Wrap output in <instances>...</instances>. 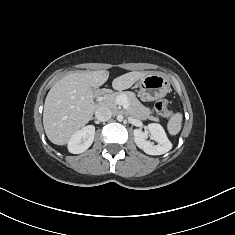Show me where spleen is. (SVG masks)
I'll use <instances>...</instances> for the list:
<instances>
[{
  "mask_svg": "<svg viewBox=\"0 0 235 235\" xmlns=\"http://www.w3.org/2000/svg\"><path fill=\"white\" fill-rule=\"evenodd\" d=\"M183 116L181 113L174 114L168 121L167 129L171 135H176L181 130Z\"/></svg>",
  "mask_w": 235,
  "mask_h": 235,
  "instance_id": "obj_1",
  "label": "spleen"
}]
</instances>
